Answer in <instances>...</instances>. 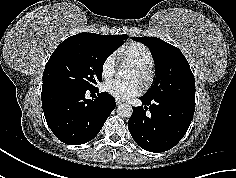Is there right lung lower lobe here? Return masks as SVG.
<instances>
[{
  "label": "right lung lower lobe",
  "instance_id": "obj_1",
  "mask_svg": "<svg viewBox=\"0 0 236 178\" xmlns=\"http://www.w3.org/2000/svg\"><path fill=\"white\" fill-rule=\"evenodd\" d=\"M98 89H91L94 92ZM88 90L66 87L43 88L42 108L53 134L68 145H80L92 140L115 109V100L102 92L95 99H86Z\"/></svg>",
  "mask_w": 236,
  "mask_h": 178
}]
</instances>
